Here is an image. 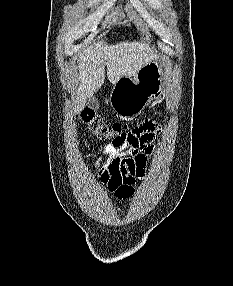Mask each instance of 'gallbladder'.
<instances>
[{"label": "gallbladder", "mask_w": 233, "mask_h": 286, "mask_svg": "<svg viewBox=\"0 0 233 286\" xmlns=\"http://www.w3.org/2000/svg\"><path fill=\"white\" fill-rule=\"evenodd\" d=\"M86 106L92 110H97L99 108V101L95 96H91L86 99Z\"/></svg>", "instance_id": "obj_1"}]
</instances>
